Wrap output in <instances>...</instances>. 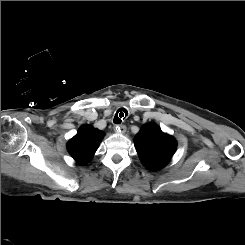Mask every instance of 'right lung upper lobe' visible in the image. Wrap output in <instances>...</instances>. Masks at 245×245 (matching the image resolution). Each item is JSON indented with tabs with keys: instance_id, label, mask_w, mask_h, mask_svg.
<instances>
[{
	"instance_id": "right-lung-upper-lobe-1",
	"label": "right lung upper lobe",
	"mask_w": 245,
	"mask_h": 245,
	"mask_svg": "<svg viewBox=\"0 0 245 245\" xmlns=\"http://www.w3.org/2000/svg\"><path fill=\"white\" fill-rule=\"evenodd\" d=\"M103 136L104 133L100 130L83 125L68 142V151L77 163L84 165L92 159Z\"/></svg>"
}]
</instances>
